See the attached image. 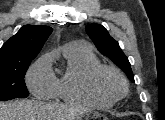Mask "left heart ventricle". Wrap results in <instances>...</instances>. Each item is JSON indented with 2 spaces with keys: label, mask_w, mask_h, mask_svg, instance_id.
Segmentation results:
<instances>
[{
  "label": "left heart ventricle",
  "mask_w": 165,
  "mask_h": 120,
  "mask_svg": "<svg viewBox=\"0 0 165 120\" xmlns=\"http://www.w3.org/2000/svg\"><path fill=\"white\" fill-rule=\"evenodd\" d=\"M98 86L109 94H119L123 89L120 79L110 72H105L100 76Z\"/></svg>",
  "instance_id": "b2bd125f"
}]
</instances>
